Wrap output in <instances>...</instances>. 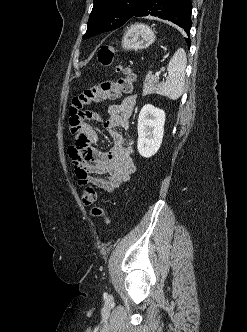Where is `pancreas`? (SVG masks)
<instances>
[{
    "label": "pancreas",
    "mask_w": 247,
    "mask_h": 332,
    "mask_svg": "<svg viewBox=\"0 0 247 332\" xmlns=\"http://www.w3.org/2000/svg\"><path fill=\"white\" fill-rule=\"evenodd\" d=\"M157 87H158V80L152 74V72H148L143 84V95L146 96L152 93H156Z\"/></svg>",
    "instance_id": "cf45deb5"
}]
</instances>
